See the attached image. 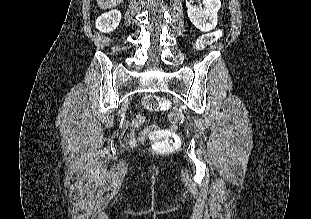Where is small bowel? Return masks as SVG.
<instances>
[{
  "label": "small bowel",
  "instance_id": "obj_1",
  "mask_svg": "<svg viewBox=\"0 0 311 219\" xmlns=\"http://www.w3.org/2000/svg\"><path fill=\"white\" fill-rule=\"evenodd\" d=\"M143 122H144V118L142 116H137L135 119H133L130 122L129 132H128L129 134L127 137H125L126 142L134 140L133 130L138 128Z\"/></svg>",
  "mask_w": 311,
  "mask_h": 219
}]
</instances>
